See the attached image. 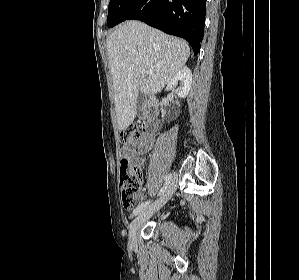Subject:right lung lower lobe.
Masks as SVG:
<instances>
[{
  "label": "right lung lower lobe",
  "instance_id": "1",
  "mask_svg": "<svg viewBox=\"0 0 299 280\" xmlns=\"http://www.w3.org/2000/svg\"><path fill=\"white\" fill-rule=\"evenodd\" d=\"M206 0H134L121 14L118 24L136 19L165 33L182 37L194 54L204 35Z\"/></svg>",
  "mask_w": 299,
  "mask_h": 280
}]
</instances>
